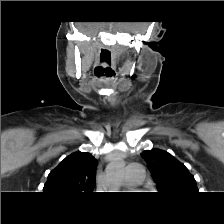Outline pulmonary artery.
<instances>
[{
  "instance_id": "obj_1",
  "label": "pulmonary artery",
  "mask_w": 224,
  "mask_h": 224,
  "mask_svg": "<svg viewBox=\"0 0 224 224\" xmlns=\"http://www.w3.org/2000/svg\"><path fill=\"white\" fill-rule=\"evenodd\" d=\"M125 185L136 187L142 185L144 181V173L141 167L136 164L129 165L126 170Z\"/></svg>"
}]
</instances>
